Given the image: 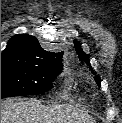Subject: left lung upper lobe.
Masks as SVG:
<instances>
[{
	"label": "left lung upper lobe",
	"mask_w": 122,
	"mask_h": 123,
	"mask_svg": "<svg viewBox=\"0 0 122 123\" xmlns=\"http://www.w3.org/2000/svg\"><path fill=\"white\" fill-rule=\"evenodd\" d=\"M74 45H75V49H76V52L78 53L80 60L85 61L89 64V59L87 55L82 51L80 44L77 41H74ZM95 81L98 84V86H100V83H101L100 77L96 76Z\"/></svg>",
	"instance_id": "left-lung-upper-lobe-1"
}]
</instances>
